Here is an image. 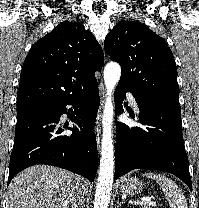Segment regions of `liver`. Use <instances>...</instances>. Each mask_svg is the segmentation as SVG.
<instances>
[{"mask_svg": "<svg viewBox=\"0 0 199 208\" xmlns=\"http://www.w3.org/2000/svg\"><path fill=\"white\" fill-rule=\"evenodd\" d=\"M90 183L70 171L48 165L31 166L13 178L8 190V208H69L81 189Z\"/></svg>", "mask_w": 199, "mask_h": 208, "instance_id": "obj_1", "label": "liver"}]
</instances>
